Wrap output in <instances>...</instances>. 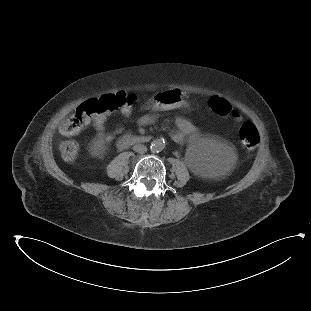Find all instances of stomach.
<instances>
[{
	"instance_id": "0dacf381",
	"label": "stomach",
	"mask_w": 311,
	"mask_h": 311,
	"mask_svg": "<svg viewBox=\"0 0 311 311\" xmlns=\"http://www.w3.org/2000/svg\"><path fill=\"white\" fill-rule=\"evenodd\" d=\"M161 93L156 94L152 99V103L159 109L161 108H176L182 105L183 100L181 99L180 95L177 94L172 97H161Z\"/></svg>"
}]
</instances>
